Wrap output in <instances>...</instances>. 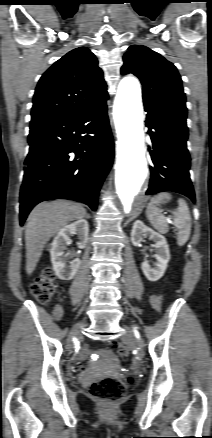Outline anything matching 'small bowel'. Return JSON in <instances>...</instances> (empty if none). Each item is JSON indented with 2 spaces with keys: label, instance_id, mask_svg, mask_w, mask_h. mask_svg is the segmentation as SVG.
I'll use <instances>...</instances> for the list:
<instances>
[{
  "label": "small bowel",
  "instance_id": "c3829d8e",
  "mask_svg": "<svg viewBox=\"0 0 212 438\" xmlns=\"http://www.w3.org/2000/svg\"><path fill=\"white\" fill-rule=\"evenodd\" d=\"M151 303L154 307L155 310L159 311L161 310L162 307V297L160 296H155L151 299ZM62 315V309L59 306H56L53 310V316L55 318H60Z\"/></svg>",
  "mask_w": 212,
  "mask_h": 438
}]
</instances>
